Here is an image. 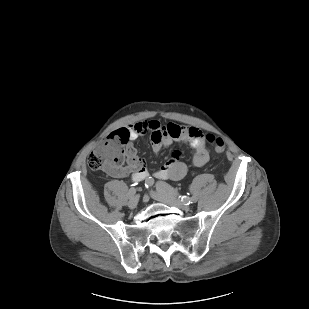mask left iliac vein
<instances>
[{
	"label": "left iliac vein",
	"mask_w": 309,
	"mask_h": 309,
	"mask_svg": "<svg viewBox=\"0 0 309 309\" xmlns=\"http://www.w3.org/2000/svg\"><path fill=\"white\" fill-rule=\"evenodd\" d=\"M151 196L160 202H163L165 204L171 205V206H175L178 207L182 210L188 211L190 209L189 205H186L184 202H182L181 200L167 194L164 193L162 191H151L150 192Z\"/></svg>",
	"instance_id": "left-iliac-vein-1"
}]
</instances>
